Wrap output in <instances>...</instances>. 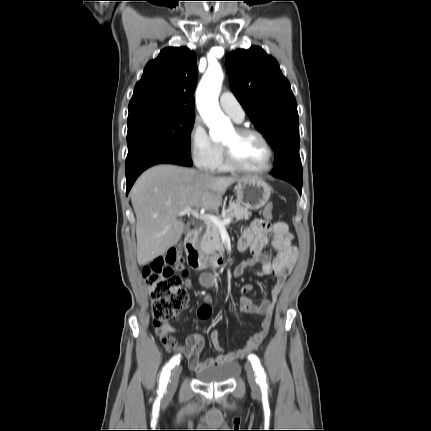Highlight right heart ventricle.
Here are the masks:
<instances>
[{"label": "right heart ventricle", "instance_id": "1", "mask_svg": "<svg viewBox=\"0 0 431 431\" xmlns=\"http://www.w3.org/2000/svg\"><path fill=\"white\" fill-rule=\"evenodd\" d=\"M215 169L219 172H228L231 170L230 167L225 162V158L223 157V153H222V156H221Z\"/></svg>", "mask_w": 431, "mask_h": 431}]
</instances>
